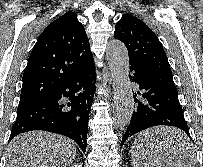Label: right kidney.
<instances>
[{"label":"right kidney","instance_id":"1","mask_svg":"<svg viewBox=\"0 0 203 167\" xmlns=\"http://www.w3.org/2000/svg\"><path fill=\"white\" fill-rule=\"evenodd\" d=\"M71 167H82V165L81 164H74Z\"/></svg>","mask_w":203,"mask_h":167}]
</instances>
